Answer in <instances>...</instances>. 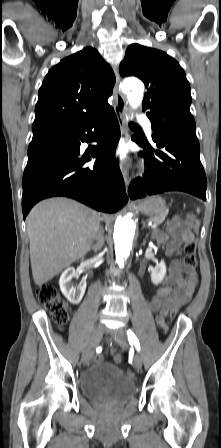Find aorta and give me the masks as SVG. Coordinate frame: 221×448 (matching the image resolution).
<instances>
[{"label": "aorta", "mask_w": 221, "mask_h": 448, "mask_svg": "<svg viewBox=\"0 0 221 448\" xmlns=\"http://www.w3.org/2000/svg\"><path fill=\"white\" fill-rule=\"evenodd\" d=\"M122 90L127 94L130 106L137 108L142 103L144 85L138 79H126L122 83ZM136 225L129 217H119L114 227V243L116 262L120 268L130 255L133 238L135 236Z\"/></svg>", "instance_id": "1"}]
</instances>
